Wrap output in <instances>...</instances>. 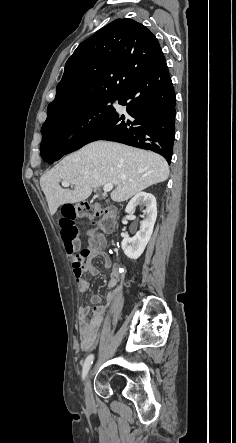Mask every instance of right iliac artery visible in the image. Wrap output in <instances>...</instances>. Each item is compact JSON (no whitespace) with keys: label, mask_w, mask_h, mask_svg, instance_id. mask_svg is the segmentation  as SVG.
Returning a JSON list of instances; mask_svg holds the SVG:
<instances>
[{"label":"right iliac artery","mask_w":236,"mask_h":443,"mask_svg":"<svg viewBox=\"0 0 236 443\" xmlns=\"http://www.w3.org/2000/svg\"><path fill=\"white\" fill-rule=\"evenodd\" d=\"M93 359H94V355L90 354L88 355V357L86 358L84 365H83V371H82V378L85 379L92 363H93Z\"/></svg>","instance_id":"right-iliac-artery-1"}]
</instances>
